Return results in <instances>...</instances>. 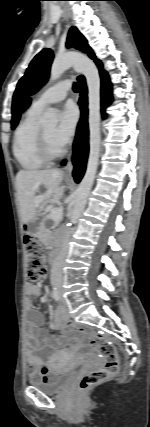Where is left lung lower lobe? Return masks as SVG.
Returning <instances> with one entry per match:
<instances>
[{
  "label": "left lung lower lobe",
  "mask_w": 150,
  "mask_h": 427,
  "mask_svg": "<svg viewBox=\"0 0 150 427\" xmlns=\"http://www.w3.org/2000/svg\"><path fill=\"white\" fill-rule=\"evenodd\" d=\"M101 76V105L102 110L105 109L112 101V86L109 82L108 74L103 70L102 63L100 60L95 61ZM80 84L82 85L81 97L79 100V105L81 106L82 117L78 124L76 139L74 142V154H73V176L75 181L78 183L86 168V161L88 155V126H87V89L85 85L84 77L80 76L78 78ZM104 115V114H103ZM66 160L62 162V165H65Z\"/></svg>",
  "instance_id": "1"
}]
</instances>
